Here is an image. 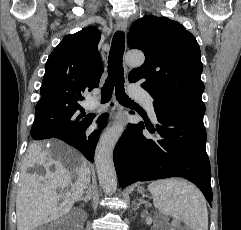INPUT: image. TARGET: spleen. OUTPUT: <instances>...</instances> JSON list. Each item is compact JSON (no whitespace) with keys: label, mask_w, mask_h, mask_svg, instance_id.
Instances as JSON below:
<instances>
[{"label":"spleen","mask_w":241,"mask_h":230,"mask_svg":"<svg viewBox=\"0 0 241 230\" xmlns=\"http://www.w3.org/2000/svg\"><path fill=\"white\" fill-rule=\"evenodd\" d=\"M148 190L163 215L183 221L192 230H208L206 201L194 185L181 179H166L152 182Z\"/></svg>","instance_id":"1"}]
</instances>
